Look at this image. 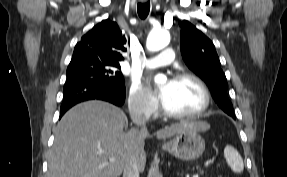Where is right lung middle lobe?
<instances>
[{
	"label": "right lung middle lobe",
	"mask_w": 287,
	"mask_h": 177,
	"mask_svg": "<svg viewBox=\"0 0 287 177\" xmlns=\"http://www.w3.org/2000/svg\"><path fill=\"white\" fill-rule=\"evenodd\" d=\"M78 76H91L108 82H121L123 80L120 66L103 60H84L70 63L67 68V79Z\"/></svg>",
	"instance_id": "dd1d6c3e"
}]
</instances>
